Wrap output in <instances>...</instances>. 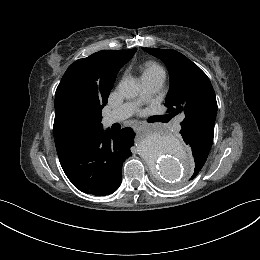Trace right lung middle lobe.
I'll list each match as a JSON object with an SVG mask.
<instances>
[{"instance_id": "right-lung-middle-lobe-1", "label": "right lung middle lobe", "mask_w": 260, "mask_h": 260, "mask_svg": "<svg viewBox=\"0 0 260 260\" xmlns=\"http://www.w3.org/2000/svg\"><path fill=\"white\" fill-rule=\"evenodd\" d=\"M109 93L101 97L98 92L79 93L72 89L61 97L63 111L75 124L85 125L102 120V108L107 104Z\"/></svg>"}]
</instances>
